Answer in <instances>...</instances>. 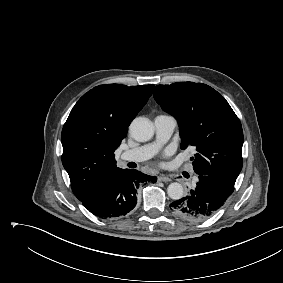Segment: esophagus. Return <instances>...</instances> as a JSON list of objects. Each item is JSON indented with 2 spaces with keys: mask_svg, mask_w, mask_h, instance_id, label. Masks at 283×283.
I'll list each match as a JSON object with an SVG mask.
<instances>
[{
  "mask_svg": "<svg viewBox=\"0 0 283 283\" xmlns=\"http://www.w3.org/2000/svg\"><path fill=\"white\" fill-rule=\"evenodd\" d=\"M158 181H162V182H170L171 178L165 175H161L158 177Z\"/></svg>",
  "mask_w": 283,
  "mask_h": 283,
  "instance_id": "1",
  "label": "esophagus"
}]
</instances>
